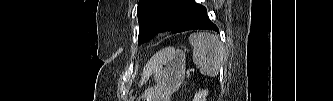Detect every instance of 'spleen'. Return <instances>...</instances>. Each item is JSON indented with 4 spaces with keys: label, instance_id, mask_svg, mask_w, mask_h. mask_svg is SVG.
I'll use <instances>...</instances> for the list:
<instances>
[{
    "label": "spleen",
    "instance_id": "obj_1",
    "mask_svg": "<svg viewBox=\"0 0 333 101\" xmlns=\"http://www.w3.org/2000/svg\"><path fill=\"white\" fill-rule=\"evenodd\" d=\"M193 47V62L199 66L200 73L214 77L219 73L226 58L224 46L213 34L200 32L189 37Z\"/></svg>",
    "mask_w": 333,
    "mask_h": 101
}]
</instances>
